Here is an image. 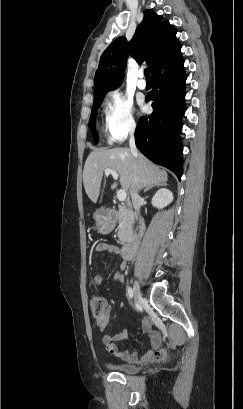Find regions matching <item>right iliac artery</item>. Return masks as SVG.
<instances>
[{"label":"right iliac artery","instance_id":"82829eb1","mask_svg":"<svg viewBox=\"0 0 243 409\" xmlns=\"http://www.w3.org/2000/svg\"><path fill=\"white\" fill-rule=\"evenodd\" d=\"M128 295H129V298L133 297V290L131 287L128 288Z\"/></svg>","mask_w":243,"mask_h":409}]
</instances>
